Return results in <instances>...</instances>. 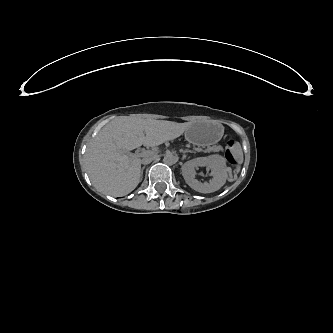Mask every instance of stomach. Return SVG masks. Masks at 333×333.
Listing matches in <instances>:
<instances>
[{
    "label": "stomach",
    "instance_id": "obj_1",
    "mask_svg": "<svg viewBox=\"0 0 333 333\" xmlns=\"http://www.w3.org/2000/svg\"><path fill=\"white\" fill-rule=\"evenodd\" d=\"M185 137H186V140L191 144H194V145L202 144V142L193 139L189 133Z\"/></svg>",
    "mask_w": 333,
    "mask_h": 333
}]
</instances>
